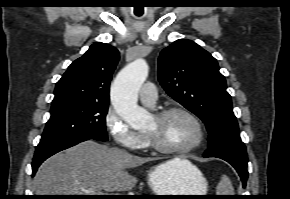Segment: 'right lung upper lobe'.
Listing matches in <instances>:
<instances>
[{"label":"right lung upper lobe","mask_w":290,"mask_h":199,"mask_svg":"<svg viewBox=\"0 0 290 199\" xmlns=\"http://www.w3.org/2000/svg\"><path fill=\"white\" fill-rule=\"evenodd\" d=\"M118 61L115 47L101 42L91 45L57 82L51 108L74 103L108 104L110 81Z\"/></svg>","instance_id":"obj_1"}]
</instances>
